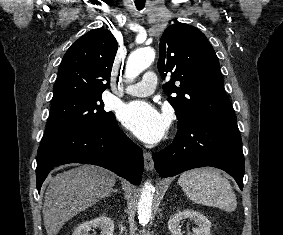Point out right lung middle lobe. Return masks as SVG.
Here are the masks:
<instances>
[{"label":"right lung middle lobe","mask_w":283,"mask_h":235,"mask_svg":"<svg viewBox=\"0 0 283 235\" xmlns=\"http://www.w3.org/2000/svg\"><path fill=\"white\" fill-rule=\"evenodd\" d=\"M103 107L101 96L71 97L52 103L41 146L108 125L115 116Z\"/></svg>","instance_id":"right-lung-middle-lobe-1"}]
</instances>
